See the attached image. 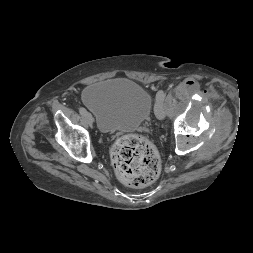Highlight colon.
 Here are the masks:
<instances>
[{
	"label": "colon",
	"mask_w": 253,
	"mask_h": 253,
	"mask_svg": "<svg viewBox=\"0 0 253 253\" xmlns=\"http://www.w3.org/2000/svg\"><path fill=\"white\" fill-rule=\"evenodd\" d=\"M118 179L130 187L153 183L160 173V159L155 146L144 136L131 134L117 140L111 152Z\"/></svg>",
	"instance_id": "1"
}]
</instances>
